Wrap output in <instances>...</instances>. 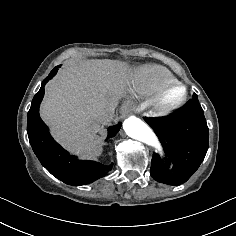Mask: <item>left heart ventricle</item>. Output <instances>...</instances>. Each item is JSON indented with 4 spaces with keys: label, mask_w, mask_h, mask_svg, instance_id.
<instances>
[{
    "label": "left heart ventricle",
    "mask_w": 236,
    "mask_h": 236,
    "mask_svg": "<svg viewBox=\"0 0 236 236\" xmlns=\"http://www.w3.org/2000/svg\"><path fill=\"white\" fill-rule=\"evenodd\" d=\"M177 94H178V92L171 94L170 99H173Z\"/></svg>",
    "instance_id": "b2bd125f"
}]
</instances>
